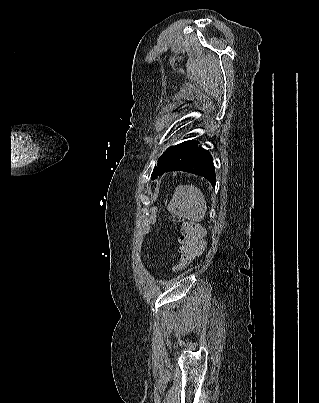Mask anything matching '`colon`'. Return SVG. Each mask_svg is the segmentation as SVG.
<instances>
[{"instance_id": "obj_1", "label": "colon", "mask_w": 319, "mask_h": 403, "mask_svg": "<svg viewBox=\"0 0 319 403\" xmlns=\"http://www.w3.org/2000/svg\"><path fill=\"white\" fill-rule=\"evenodd\" d=\"M179 241L181 248L177 262L180 266L189 264L192 259L202 253L205 246L202 230L192 222L181 226Z\"/></svg>"}]
</instances>
